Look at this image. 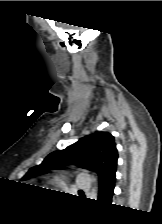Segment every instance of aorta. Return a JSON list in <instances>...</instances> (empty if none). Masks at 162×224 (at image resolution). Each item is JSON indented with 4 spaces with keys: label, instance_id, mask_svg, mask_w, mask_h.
Instances as JSON below:
<instances>
[{
    "label": "aorta",
    "instance_id": "762f6f07",
    "mask_svg": "<svg viewBox=\"0 0 162 224\" xmlns=\"http://www.w3.org/2000/svg\"><path fill=\"white\" fill-rule=\"evenodd\" d=\"M98 195V188L97 186L93 187L90 193L91 199H96Z\"/></svg>",
    "mask_w": 162,
    "mask_h": 224
}]
</instances>
